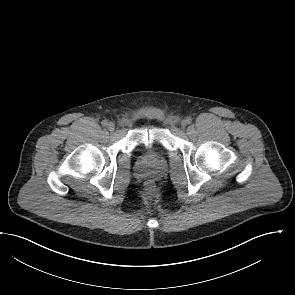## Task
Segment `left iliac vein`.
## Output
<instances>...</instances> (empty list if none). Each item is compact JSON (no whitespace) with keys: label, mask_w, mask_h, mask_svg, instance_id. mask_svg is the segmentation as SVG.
<instances>
[{"label":"left iliac vein","mask_w":295,"mask_h":295,"mask_svg":"<svg viewBox=\"0 0 295 295\" xmlns=\"http://www.w3.org/2000/svg\"><path fill=\"white\" fill-rule=\"evenodd\" d=\"M181 125H182V127H186V125H187L186 120H183V121L181 122Z\"/></svg>","instance_id":"1"}]
</instances>
